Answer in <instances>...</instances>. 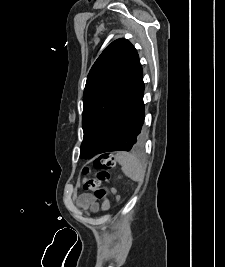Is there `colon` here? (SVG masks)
I'll return each mask as SVG.
<instances>
[{
	"mask_svg": "<svg viewBox=\"0 0 225 267\" xmlns=\"http://www.w3.org/2000/svg\"><path fill=\"white\" fill-rule=\"evenodd\" d=\"M94 166L97 169L96 177L88 178L89 168H84L81 185L84 189L93 191L95 196L102 200V210L107 212L110 209L109 189L102 183L109 180L110 173L115 167V158L111 153H103L95 159Z\"/></svg>",
	"mask_w": 225,
	"mask_h": 267,
	"instance_id": "colon-1",
	"label": "colon"
}]
</instances>
